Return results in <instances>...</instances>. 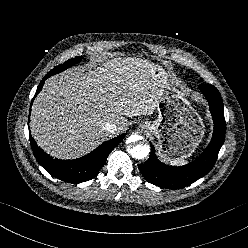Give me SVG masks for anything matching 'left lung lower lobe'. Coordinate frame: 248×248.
<instances>
[{
  "instance_id": "obj_1",
  "label": "left lung lower lobe",
  "mask_w": 248,
  "mask_h": 248,
  "mask_svg": "<svg viewBox=\"0 0 248 248\" xmlns=\"http://www.w3.org/2000/svg\"><path fill=\"white\" fill-rule=\"evenodd\" d=\"M199 89L209 102L214 121V133L210 144L196 160L181 167L160 162L151 144L150 158L138 165L140 172L149 183L168 189L182 188L206 175L214 166L226 131L223 103L216 87L202 84Z\"/></svg>"
}]
</instances>
